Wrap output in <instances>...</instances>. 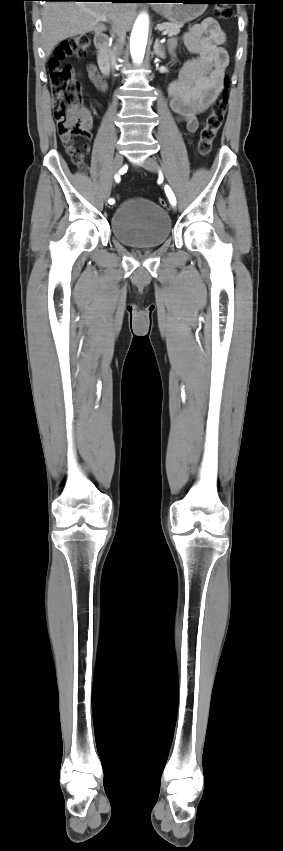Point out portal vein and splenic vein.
Masks as SVG:
<instances>
[{"instance_id":"18ae733b","label":"portal vein and splenic vein","mask_w":283,"mask_h":851,"mask_svg":"<svg viewBox=\"0 0 283 851\" xmlns=\"http://www.w3.org/2000/svg\"><path fill=\"white\" fill-rule=\"evenodd\" d=\"M96 17H97L99 20H101V21L107 22V17H106L105 15H96ZM162 34H163V35H166V34H167V32H166V31H163V32H162Z\"/></svg>"}]
</instances>
